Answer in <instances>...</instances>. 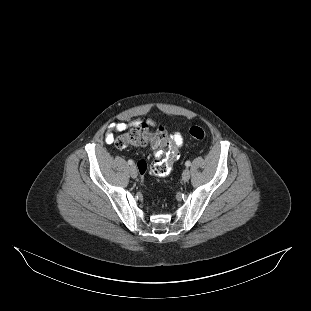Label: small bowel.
Masks as SVG:
<instances>
[{
  "mask_svg": "<svg viewBox=\"0 0 311 311\" xmlns=\"http://www.w3.org/2000/svg\"><path fill=\"white\" fill-rule=\"evenodd\" d=\"M138 121H133L130 123H123V122H113L109 125L105 141L108 144H111L114 141L113 133L116 131H124L128 128H131L132 126H135L139 124ZM151 125H153V122H150ZM173 143L177 148H180L183 145V138L179 133H174L172 137ZM158 153L156 152V156ZM177 158V155L170 159V163H172Z\"/></svg>",
  "mask_w": 311,
  "mask_h": 311,
  "instance_id": "1",
  "label": "small bowel"
}]
</instances>
